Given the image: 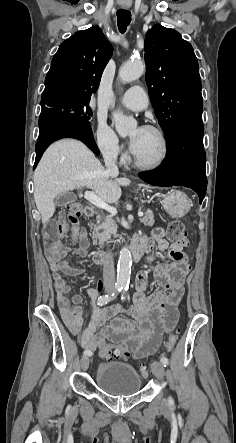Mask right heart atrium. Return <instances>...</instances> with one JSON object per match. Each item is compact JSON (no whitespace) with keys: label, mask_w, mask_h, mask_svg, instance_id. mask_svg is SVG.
Masks as SVG:
<instances>
[{"label":"right heart atrium","mask_w":236,"mask_h":443,"mask_svg":"<svg viewBox=\"0 0 236 443\" xmlns=\"http://www.w3.org/2000/svg\"><path fill=\"white\" fill-rule=\"evenodd\" d=\"M94 136L99 150L106 158L114 160L122 155L121 143L104 123L98 124Z\"/></svg>","instance_id":"right-heart-atrium-1"}]
</instances>
